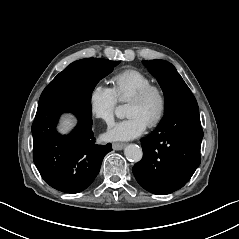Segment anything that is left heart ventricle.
<instances>
[{"mask_svg": "<svg viewBox=\"0 0 239 239\" xmlns=\"http://www.w3.org/2000/svg\"><path fill=\"white\" fill-rule=\"evenodd\" d=\"M159 107V98L153 93L142 102H128L126 105V115L137 114L149 124L158 113Z\"/></svg>", "mask_w": 239, "mask_h": 239, "instance_id": "1", "label": "left heart ventricle"}]
</instances>
